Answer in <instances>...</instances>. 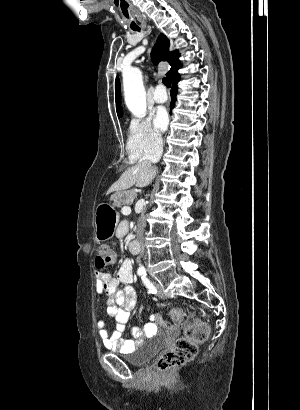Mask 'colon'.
Wrapping results in <instances>:
<instances>
[{
    "label": "colon",
    "instance_id": "1",
    "mask_svg": "<svg viewBox=\"0 0 300 410\" xmlns=\"http://www.w3.org/2000/svg\"><path fill=\"white\" fill-rule=\"evenodd\" d=\"M115 262L116 254L109 248L103 249L95 257V266L98 269L112 266ZM172 315V323L179 325L181 330H186V336L178 339L169 350L157 359L156 367L162 374L193 359L197 353L198 345L204 343L210 334V328L205 322L194 321L189 323L185 321L180 308H175L172 311Z\"/></svg>",
    "mask_w": 300,
    "mask_h": 410
}]
</instances>
